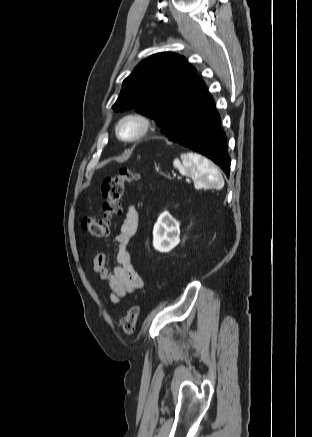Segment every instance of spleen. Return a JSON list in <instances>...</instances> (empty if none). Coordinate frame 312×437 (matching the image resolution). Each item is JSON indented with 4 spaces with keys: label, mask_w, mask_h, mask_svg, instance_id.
<instances>
[{
    "label": "spleen",
    "mask_w": 312,
    "mask_h": 437,
    "mask_svg": "<svg viewBox=\"0 0 312 437\" xmlns=\"http://www.w3.org/2000/svg\"><path fill=\"white\" fill-rule=\"evenodd\" d=\"M181 161L175 159L173 164L178 170L193 178L194 183L203 188L219 190L224 186V179L218 168L207 158L196 153L181 154Z\"/></svg>",
    "instance_id": "1"
}]
</instances>
